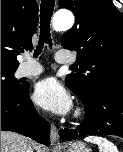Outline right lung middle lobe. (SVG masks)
<instances>
[{"mask_svg":"<svg viewBox=\"0 0 123 152\" xmlns=\"http://www.w3.org/2000/svg\"><path fill=\"white\" fill-rule=\"evenodd\" d=\"M16 69L1 68V92L17 91L24 88L14 77Z\"/></svg>","mask_w":123,"mask_h":152,"instance_id":"1","label":"right lung middle lobe"}]
</instances>
